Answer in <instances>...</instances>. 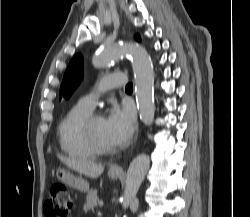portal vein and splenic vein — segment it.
I'll return each mask as SVG.
<instances>
[{"instance_id": "1", "label": "portal vein and splenic vein", "mask_w": 250, "mask_h": 217, "mask_svg": "<svg viewBox=\"0 0 250 217\" xmlns=\"http://www.w3.org/2000/svg\"><path fill=\"white\" fill-rule=\"evenodd\" d=\"M103 204H104V202H103L102 200H100V201L98 202V205H99L100 207H102Z\"/></svg>"}]
</instances>
